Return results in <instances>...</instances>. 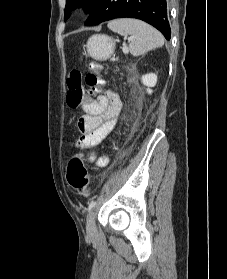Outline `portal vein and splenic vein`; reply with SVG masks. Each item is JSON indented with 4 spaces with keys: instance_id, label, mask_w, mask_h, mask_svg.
I'll use <instances>...</instances> for the list:
<instances>
[{
    "instance_id": "18ae733b",
    "label": "portal vein and splenic vein",
    "mask_w": 227,
    "mask_h": 279,
    "mask_svg": "<svg viewBox=\"0 0 227 279\" xmlns=\"http://www.w3.org/2000/svg\"><path fill=\"white\" fill-rule=\"evenodd\" d=\"M122 50H123V53H125V54L128 53V47L126 44L123 45Z\"/></svg>"
}]
</instances>
